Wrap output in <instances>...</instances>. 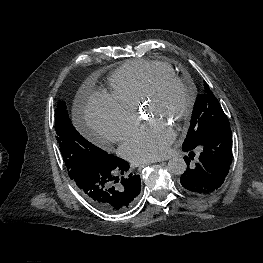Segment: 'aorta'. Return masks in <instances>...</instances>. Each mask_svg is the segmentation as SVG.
Segmentation results:
<instances>
[{
  "mask_svg": "<svg viewBox=\"0 0 263 263\" xmlns=\"http://www.w3.org/2000/svg\"><path fill=\"white\" fill-rule=\"evenodd\" d=\"M168 170L175 175H182L186 170V162L181 157H173L168 162Z\"/></svg>",
  "mask_w": 263,
  "mask_h": 263,
  "instance_id": "obj_1",
  "label": "aorta"
}]
</instances>
